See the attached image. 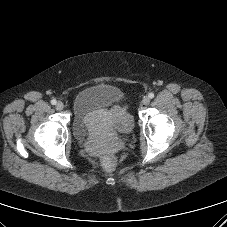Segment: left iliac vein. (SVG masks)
Returning <instances> with one entry per match:
<instances>
[{
    "instance_id": "obj_1",
    "label": "left iliac vein",
    "mask_w": 227,
    "mask_h": 227,
    "mask_svg": "<svg viewBox=\"0 0 227 227\" xmlns=\"http://www.w3.org/2000/svg\"><path fill=\"white\" fill-rule=\"evenodd\" d=\"M150 103V98L148 96H145L142 100V104L147 106Z\"/></svg>"
}]
</instances>
